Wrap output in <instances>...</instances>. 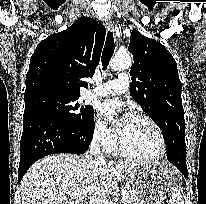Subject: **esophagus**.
Listing matches in <instances>:
<instances>
[{"label": "esophagus", "instance_id": "obj_1", "mask_svg": "<svg viewBox=\"0 0 206 204\" xmlns=\"http://www.w3.org/2000/svg\"><path fill=\"white\" fill-rule=\"evenodd\" d=\"M102 21L108 29H111V30L113 29V23L109 16L103 17Z\"/></svg>", "mask_w": 206, "mask_h": 204}]
</instances>
